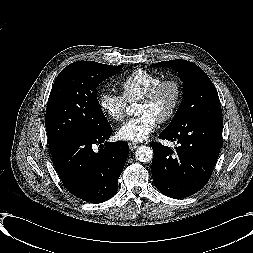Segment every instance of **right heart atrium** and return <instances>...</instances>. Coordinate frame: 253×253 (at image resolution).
Masks as SVG:
<instances>
[{"label":"right heart atrium","instance_id":"obj_1","mask_svg":"<svg viewBox=\"0 0 253 253\" xmlns=\"http://www.w3.org/2000/svg\"><path fill=\"white\" fill-rule=\"evenodd\" d=\"M99 106L104 115L111 121H121L125 116L127 101L118 93L106 91L99 96Z\"/></svg>","mask_w":253,"mask_h":253}]
</instances>
